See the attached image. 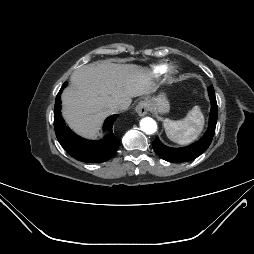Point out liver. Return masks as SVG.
Returning a JSON list of instances; mask_svg holds the SVG:
<instances>
[{"instance_id":"1","label":"liver","mask_w":254,"mask_h":254,"mask_svg":"<svg viewBox=\"0 0 254 254\" xmlns=\"http://www.w3.org/2000/svg\"><path fill=\"white\" fill-rule=\"evenodd\" d=\"M70 81L62 93V113L67 124L87 138L95 137L104 119L116 112L114 104L130 105L133 97L158 88L145 68L110 62L82 66L71 74Z\"/></svg>"}]
</instances>
